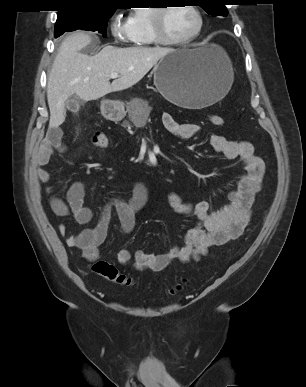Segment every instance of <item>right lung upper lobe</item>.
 <instances>
[{"mask_svg":"<svg viewBox=\"0 0 306 387\" xmlns=\"http://www.w3.org/2000/svg\"><path fill=\"white\" fill-rule=\"evenodd\" d=\"M58 13L66 11L116 10V0H62Z\"/></svg>","mask_w":306,"mask_h":387,"instance_id":"right-lung-upper-lobe-1","label":"right lung upper lobe"}]
</instances>
